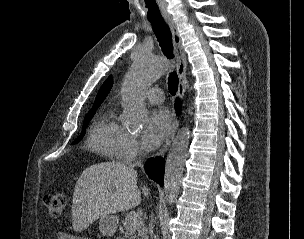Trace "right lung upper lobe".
Wrapping results in <instances>:
<instances>
[{
	"mask_svg": "<svg viewBox=\"0 0 304 239\" xmlns=\"http://www.w3.org/2000/svg\"><path fill=\"white\" fill-rule=\"evenodd\" d=\"M112 84H113L112 76H109L106 79V81L103 83L101 88L99 89L98 94H97L96 99H95V102L93 104V107H99L100 106V104L103 102V100L105 99V97L109 93V91L112 87Z\"/></svg>",
	"mask_w": 304,
	"mask_h": 239,
	"instance_id": "cb5924a9",
	"label": "right lung upper lobe"
}]
</instances>
